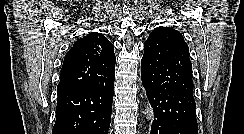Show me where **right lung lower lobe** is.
I'll return each instance as SVG.
<instances>
[{
	"mask_svg": "<svg viewBox=\"0 0 244 134\" xmlns=\"http://www.w3.org/2000/svg\"><path fill=\"white\" fill-rule=\"evenodd\" d=\"M114 79L58 92L52 134H108Z\"/></svg>",
	"mask_w": 244,
	"mask_h": 134,
	"instance_id": "obj_1",
	"label": "right lung lower lobe"
}]
</instances>
